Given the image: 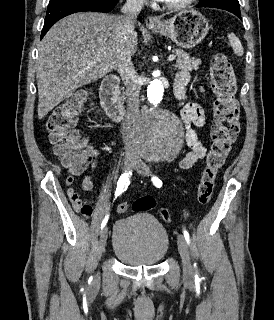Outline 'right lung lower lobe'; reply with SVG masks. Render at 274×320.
Returning <instances> with one entry per match:
<instances>
[{
    "instance_id": "1",
    "label": "right lung lower lobe",
    "mask_w": 274,
    "mask_h": 320,
    "mask_svg": "<svg viewBox=\"0 0 274 320\" xmlns=\"http://www.w3.org/2000/svg\"><path fill=\"white\" fill-rule=\"evenodd\" d=\"M119 0H58L49 3L45 17L41 38L47 33L51 26L61 18L83 11L109 12ZM141 20V17H139Z\"/></svg>"
}]
</instances>
